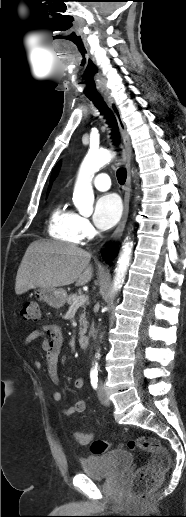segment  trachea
<instances>
[{"label": "trachea", "instance_id": "trachea-1", "mask_svg": "<svg viewBox=\"0 0 186 517\" xmlns=\"http://www.w3.org/2000/svg\"><path fill=\"white\" fill-rule=\"evenodd\" d=\"M88 98L94 103V105L99 109V111L105 115L107 119V123L113 128L112 137H118V127L117 121L111 110L107 107L101 97L99 96H88ZM127 178V173L125 169L121 168L117 171V179L120 184H124Z\"/></svg>", "mask_w": 186, "mask_h": 517}]
</instances>
